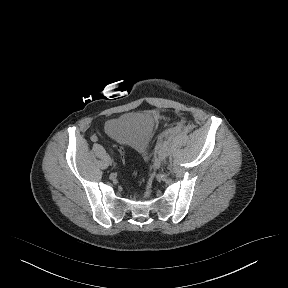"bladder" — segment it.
<instances>
[{
    "instance_id": "obj_1",
    "label": "bladder",
    "mask_w": 288,
    "mask_h": 288,
    "mask_svg": "<svg viewBox=\"0 0 288 288\" xmlns=\"http://www.w3.org/2000/svg\"><path fill=\"white\" fill-rule=\"evenodd\" d=\"M155 125L156 119L150 113H129L108 122L105 131L120 142L141 148Z\"/></svg>"
}]
</instances>
